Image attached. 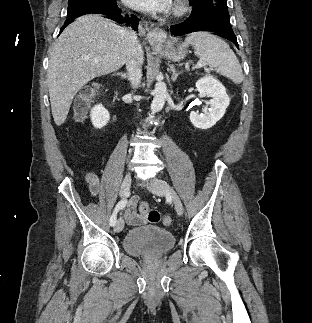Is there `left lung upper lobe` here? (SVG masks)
<instances>
[{"label": "left lung upper lobe", "mask_w": 312, "mask_h": 323, "mask_svg": "<svg viewBox=\"0 0 312 323\" xmlns=\"http://www.w3.org/2000/svg\"><path fill=\"white\" fill-rule=\"evenodd\" d=\"M190 4L193 6L189 20H194L202 17V15L210 12H227L228 7L226 0H189ZM220 7V9H216Z\"/></svg>", "instance_id": "1"}]
</instances>
